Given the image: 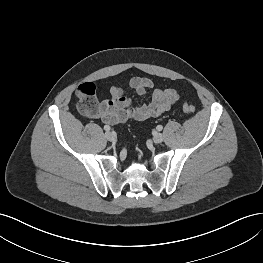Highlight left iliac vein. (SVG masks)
Returning <instances> with one entry per match:
<instances>
[{"instance_id":"1","label":"left iliac vein","mask_w":263,"mask_h":263,"mask_svg":"<svg viewBox=\"0 0 263 263\" xmlns=\"http://www.w3.org/2000/svg\"><path fill=\"white\" fill-rule=\"evenodd\" d=\"M153 140L155 143H161L164 140V137L161 133H155L153 136Z\"/></svg>"}]
</instances>
